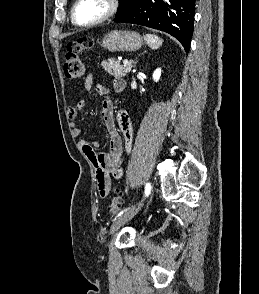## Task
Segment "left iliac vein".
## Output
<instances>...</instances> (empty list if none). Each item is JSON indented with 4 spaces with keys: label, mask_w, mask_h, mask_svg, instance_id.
<instances>
[{
    "label": "left iliac vein",
    "mask_w": 259,
    "mask_h": 294,
    "mask_svg": "<svg viewBox=\"0 0 259 294\" xmlns=\"http://www.w3.org/2000/svg\"><path fill=\"white\" fill-rule=\"evenodd\" d=\"M145 200H146L145 198L142 199L138 204H136L135 206L130 208L128 211H126L123 215H121L119 218H117L110 227V234H114L124 224L130 221L140 211V209L145 203Z\"/></svg>",
    "instance_id": "obj_1"
}]
</instances>
